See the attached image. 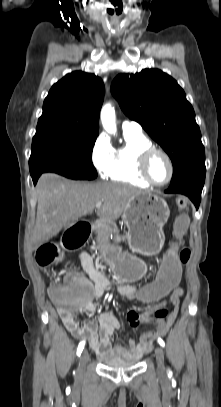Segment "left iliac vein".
<instances>
[{
    "instance_id": "obj_1",
    "label": "left iliac vein",
    "mask_w": 221,
    "mask_h": 407,
    "mask_svg": "<svg viewBox=\"0 0 221 407\" xmlns=\"http://www.w3.org/2000/svg\"><path fill=\"white\" fill-rule=\"evenodd\" d=\"M155 357L157 361V373L159 376H163L165 373L164 353L160 346L155 348Z\"/></svg>"
}]
</instances>
